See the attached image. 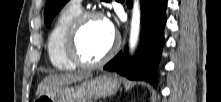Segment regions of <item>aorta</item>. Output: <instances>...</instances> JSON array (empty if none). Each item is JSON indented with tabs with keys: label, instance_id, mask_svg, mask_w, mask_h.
<instances>
[{
	"label": "aorta",
	"instance_id": "aorta-1",
	"mask_svg": "<svg viewBox=\"0 0 221 102\" xmlns=\"http://www.w3.org/2000/svg\"><path fill=\"white\" fill-rule=\"evenodd\" d=\"M140 32V2L139 0L134 1L132 21L130 29V50H134L136 47Z\"/></svg>",
	"mask_w": 221,
	"mask_h": 102
}]
</instances>
